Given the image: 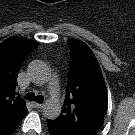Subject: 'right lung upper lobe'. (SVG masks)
<instances>
[{
  "instance_id": "cb5924a9",
  "label": "right lung upper lobe",
  "mask_w": 135,
  "mask_h": 135,
  "mask_svg": "<svg viewBox=\"0 0 135 135\" xmlns=\"http://www.w3.org/2000/svg\"><path fill=\"white\" fill-rule=\"evenodd\" d=\"M38 46L23 38L0 44V135H10L27 113L24 100L15 96L19 68L25 56Z\"/></svg>"
}]
</instances>
